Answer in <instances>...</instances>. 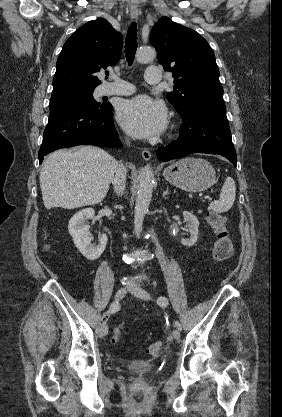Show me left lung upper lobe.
<instances>
[{
  "label": "left lung upper lobe",
  "mask_w": 282,
  "mask_h": 417,
  "mask_svg": "<svg viewBox=\"0 0 282 417\" xmlns=\"http://www.w3.org/2000/svg\"><path fill=\"white\" fill-rule=\"evenodd\" d=\"M150 42L164 70L173 73L175 89L166 97L179 113L199 97L222 98L214 52L196 31L162 17L152 28Z\"/></svg>",
  "instance_id": "5c2ea615"
}]
</instances>
